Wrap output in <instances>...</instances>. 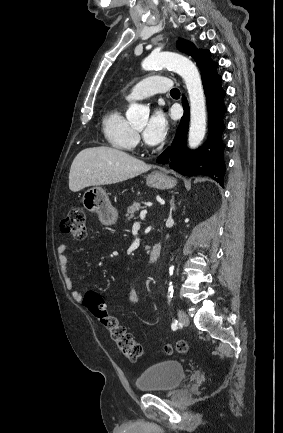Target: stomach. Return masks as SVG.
I'll use <instances>...</instances> for the list:
<instances>
[{
	"mask_svg": "<svg viewBox=\"0 0 283 433\" xmlns=\"http://www.w3.org/2000/svg\"><path fill=\"white\" fill-rule=\"evenodd\" d=\"M148 186H155V188H172L175 186L176 180L172 176H167L160 170H154L148 174L146 178ZM83 206L90 210V212H97L101 221H117L118 212L115 206H112L109 196L101 186H92L88 188L83 194Z\"/></svg>",
	"mask_w": 283,
	"mask_h": 433,
	"instance_id": "1",
	"label": "stomach"
}]
</instances>
